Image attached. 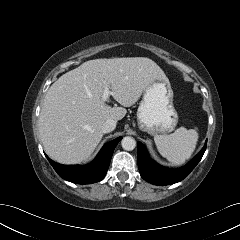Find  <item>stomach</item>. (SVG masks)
Instances as JSON below:
<instances>
[{
    "instance_id": "obj_1",
    "label": "stomach",
    "mask_w": 240,
    "mask_h": 240,
    "mask_svg": "<svg viewBox=\"0 0 240 240\" xmlns=\"http://www.w3.org/2000/svg\"><path fill=\"white\" fill-rule=\"evenodd\" d=\"M137 120L139 129L153 136L175 129L178 115L168 80L156 79L148 84L137 110Z\"/></svg>"
}]
</instances>
